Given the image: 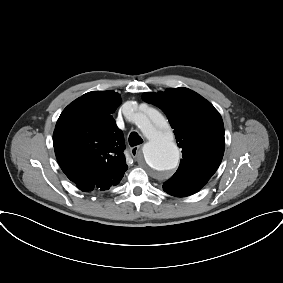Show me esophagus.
I'll use <instances>...</instances> for the list:
<instances>
[{
    "label": "esophagus",
    "mask_w": 283,
    "mask_h": 283,
    "mask_svg": "<svg viewBox=\"0 0 283 283\" xmlns=\"http://www.w3.org/2000/svg\"><path fill=\"white\" fill-rule=\"evenodd\" d=\"M141 153V146H134L130 148V154L133 158H137Z\"/></svg>",
    "instance_id": "esophagus-1"
}]
</instances>
